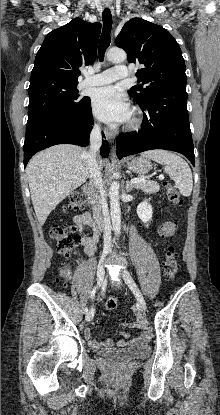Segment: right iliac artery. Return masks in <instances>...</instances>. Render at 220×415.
<instances>
[{
	"label": "right iliac artery",
	"instance_id": "82829eb1",
	"mask_svg": "<svg viewBox=\"0 0 220 415\" xmlns=\"http://www.w3.org/2000/svg\"><path fill=\"white\" fill-rule=\"evenodd\" d=\"M95 293H96V287H94V289L92 290V292H91V299H93L94 298V296H95ZM94 310V309H93ZM88 312V308L86 307L85 309H84V313H87Z\"/></svg>",
	"mask_w": 220,
	"mask_h": 415
}]
</instances>
